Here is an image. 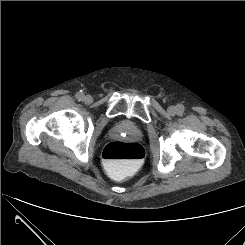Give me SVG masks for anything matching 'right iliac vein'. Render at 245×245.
<instances>
[{
	"label": "right iliac vein",
	"mask_w": 245,
	"mask_h": 245,
	"mask_svg": "<svg viewBox=\"0 0 245 245\" xmlns=\"http://www.w3.org/2000/svg\"><path fill=\"white\" fill-rule=\"evenodd\" d=\"M83 101H84L85 104H91L93 99H92V97L90 95H85L83 97Z\"/></svg>",
	"instance_id": "obj_1"
}]
</instances>
